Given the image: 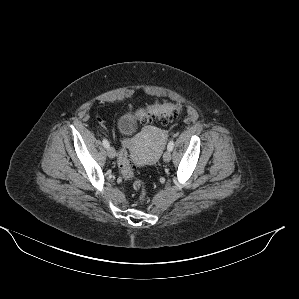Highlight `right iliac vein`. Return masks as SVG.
<instances>
[{
	"label": "right iliac vein",
	"mask_w": 299,
	"mask_h": 299,
	"mask_svg": "<svg viewBox=\"0 0 299 299\" xmlns=\"http://www.w3.org/2000/svg\"><path fill=\"white\" fill-rule=\"evenodd\" d=\"M107 154H108L109 158H114L116 156V151L113 147H108Z\"/></svg>",
	"instance_id": "obj_1"
}]
</instances>
